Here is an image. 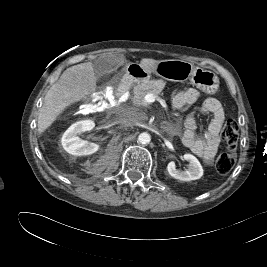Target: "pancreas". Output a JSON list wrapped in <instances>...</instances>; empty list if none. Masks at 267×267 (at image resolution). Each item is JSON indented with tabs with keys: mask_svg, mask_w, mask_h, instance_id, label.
Segmentation results:
<instances>
[{
	"mask_svg": "<svg viewBox=\"0 0 267 267\" xmlns=\"http://www.w3.org/2000/svg\"><path fill=\"white\" fill-rule=\"evenodd\" d=\"M165 82L162 80H151L146 81L133 89V102L137 105H145L144 96L152 93L155 96L161 95Z\"/></svg>",
	"mask_w": 267,
	"mask_h": 267,
	"instance_id": "obj_1",
	"label": "pancreas"
}]
</instances>
